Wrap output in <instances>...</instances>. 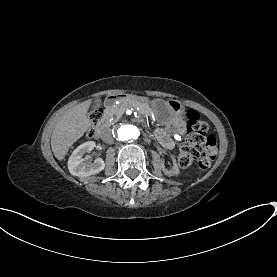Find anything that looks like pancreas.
Instances as JSON below:
<instances>
[{
  "mask_svg": "<svg viewBox=\"0 0 277 277\" xmlns=\"http://www.w3.org/2000/svg\"><path fill=\"white\" fill-rule=\"evenodd\" d=\"M128 109L142 118L148 117L151 112L150 106L138 96L129 97L127 100L120 98L108 105L106 112L109 117L115 118Z\"/></svg>",
  "mask_w": 277,
  "mask_h": 277,
  "instance_id": "1",
  "label": "pancreas"
}]
</instances>
